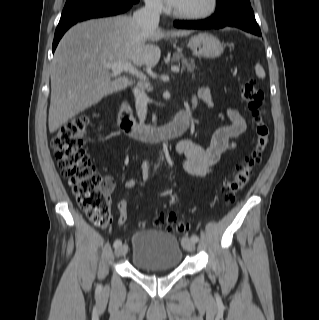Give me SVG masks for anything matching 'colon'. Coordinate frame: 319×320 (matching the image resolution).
Here are the masks:
<instances>
[{
	"instance_id": "obj_1",
	"label": "colon",
	"mask_w": 319,
	"mask_h": 320,
	"mask_svg": "<svg viewBox=\"0 0 319 320\" xmlns=\"http://www.w3.org/2000/svg\"><path fill=\"white\" fill-rule=\"evenodd\" d=\"M243 101L248 105L255 128V140L250 154L237 167L233 176L226 180L221 188L224 204L229 205L238 191L249 182L254 167L261 161L269 139V128L264 120V95L255 80L250 79L241 85ZM89 119L78 116L65 123L55 134L51 145L63 175L73 185V193L79 207L95 225H106L110 219V193L113 183L107 176L101 175L83 148V138ZM126 213H121L118 223L124 226ZM156 228L185 235L188 226L174 213L155 216Z\"/></svg>"
}]
</instances>
